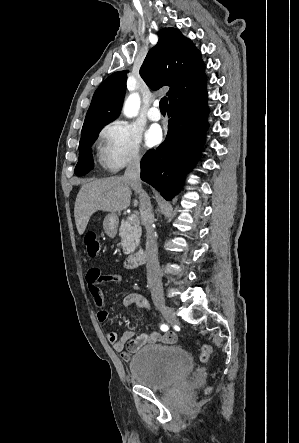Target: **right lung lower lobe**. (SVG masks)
<instances>
[{"label": "right lung lower lobe", "instance_id": "1", "mask_svg": "<svg viewBox=\"0 0 299 443\" xmlns=\"http://www.w3.org/2000/svg\"><path fill=\"white\" fill-rule=\"evenodd\" d=\"M205 84L204 75L169 101L166 139L141 160V179L156 188L166 200L178 193L184 175L201 152L208 113Z\"/></svg>", "mask_w": 299, "mask_h": 443}]
</instances>
